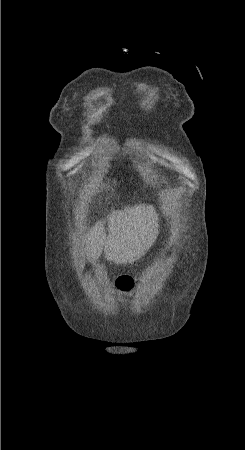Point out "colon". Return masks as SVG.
Here are the masks:
<instances>
[{"label": "colon", "mask_w": 245, "mask_h": 450, "mask_svg": "<svg viewBox=\"0 0 245 450\" xmlns=\"http://www.w3.org/2000/svg\"><path fill=\"white\" fill-rule=\"evenodd\" d=\"M121 286L125 290L133 291L136 287V282L131 277H127L121 281Z\"/></svg>", "instance_id": "5ec220e1"}]
</instances>
